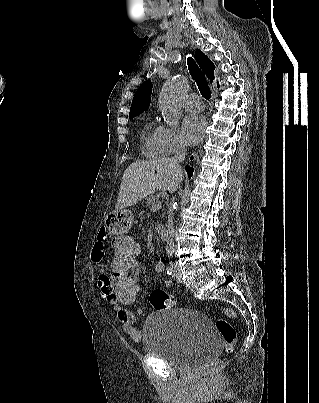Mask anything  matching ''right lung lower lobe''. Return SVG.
I'll return each mask as SVG.
<instances>
[{"label": "right lung lower lobe", "instance_id": "obj_1", "mask_svg": "<svg viewBox=\"0 0 319 403\" xmlns=\"http://www.w3.org/2000/svg\"><path fill=\"white\" fill-rule=\"evenodd\" d=\"M191 159H193V157H191ZM185 170L188 173V177L191 178L192 174H193V168H190L189 166L185 167Z\"/></svg>", "mask_w": 319, "mask_h": 403}]
</instances>
